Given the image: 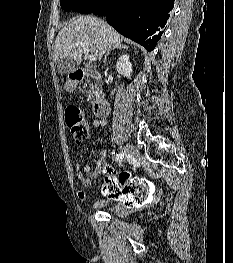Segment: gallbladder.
Masks as SVG:
<instances>
[{"label": "gallbladder", "mask_w": 233, "mask_h": 263, "mask_svg": "<svg viewBox=\"0 0 233 263\" xmlns=\"http://www.w3.org/2000/svg\"><path fill=\"white\" fill-rule=\"evenodd\" d=\"M57 67L61 72L67 71V68L65 67V61L63 59L57 61Z\"/></svg>", "instance_id": "1"}]
</instances>
